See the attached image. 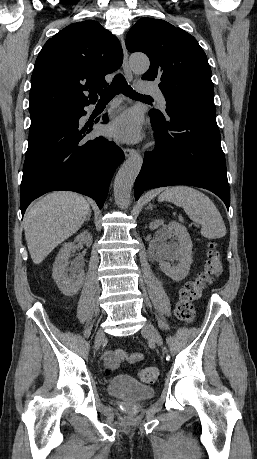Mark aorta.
<instances>
[{"instance_id": "obj_1", "label": "aorta", "mask_w": 257, "mask_h": 459, "mask_svg": "<svg viewBox=\"0 0 257 459\" xmlns=\"http://www.w3.org/2000/svg\"><path fill=\"white\" fill-rule=\"evenodd\" d=\"M130 65L136 73H144L149 69V59L145 55H132ZM143 158L139 154L129 157L120 167L114 180V197L120 208H127L131 200V191L139 174Z\"/></svg>"}]
</instances>
